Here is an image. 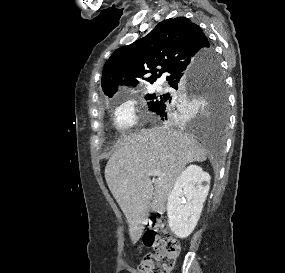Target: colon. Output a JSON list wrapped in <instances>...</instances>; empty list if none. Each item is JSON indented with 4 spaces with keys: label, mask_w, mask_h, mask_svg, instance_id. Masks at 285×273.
Segmentation results:
<instances>
[{
    "label": "colon",
    "mask_w": 285,
    "mask_h": 273,
    "mask_svg": "<svg viewBox=\"0 0 285 273\" xmlns=\"http://www.w3.org/2000/svg\"><path fill=\"white\" fill-rule=\"evenodd\" d=\"M142 242L153 248V252L144 256L139 265V272L169 273L180 253V243L162 219L151 220V226L144 232Z\"/></svg>",
    "instance_id": "1"
}]
</instances>
